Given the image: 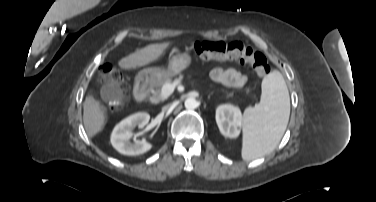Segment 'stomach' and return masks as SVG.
<instances>
[{
    "mask_svg": "<svg viewBox=\"0 0 376 202\" xmlns=\"http://www.w3.org/2000/svg\"><path fill=\"white\" fill-rule=\"evenodd\" d=\"M191 59V56L186 52L178 53L170 59L167 69L149 67L141 70L138 75L142 76L149 83L161 77L175 76L190 66Z\"/></svg>",
    "mask_w": 376,
    "mask_h": 202,
    "instance_id": "obj_1",
    "label": "stomach"
}]
</instances>
